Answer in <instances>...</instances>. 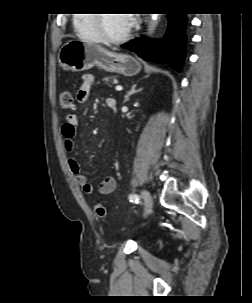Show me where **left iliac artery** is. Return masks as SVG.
Here are the masks:
<instances>
[{
    "label": "left iliac artery",
    "mask_w": 252,
    "mask_h": 303,
    "mask_svg": "<svg viewBox=\"0 0 252 303\" xmlns=\"http://www.w3.org/2000/svg\"><path fill=\"white\" fill-rule=\"evenodd\" d=\"M129 200H130V202H133V203H140L139 196L136 194H130Z\"/></svg>",
    "instance_id": "obj_1"
}]
</instances>
